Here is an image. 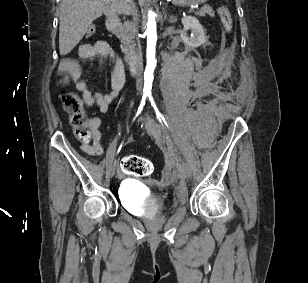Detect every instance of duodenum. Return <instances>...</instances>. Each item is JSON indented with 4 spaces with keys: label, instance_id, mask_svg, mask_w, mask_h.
Returning <instances> with one entry per match:
<instances>
[{
    "label": "duodenum",
    "instance_id": "duodenum-1",
    "mask_svg": "<svg viewBox=\"0 0 308 283\" xmlns=\"http://www.w3.org/2000/svg\"><path fill=\"white\" fill-rule=\"evenodd\" d=\"M120 26V19L115 15H111L106 19V28L112 33L116 34ZM139 60V55L135 52H129L125 55L126 65L131 73L136 72L137 64Z\"/></svg>",
    "mask_w": 308,
    "mask_h": 283
}]
</instances>
